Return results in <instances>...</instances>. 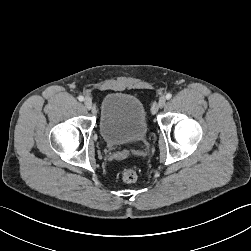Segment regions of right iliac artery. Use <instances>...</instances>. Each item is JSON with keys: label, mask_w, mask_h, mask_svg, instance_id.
I'll return each mask as SVG.
<instances>
[{"label": "right iliac artery", "mask_w": 251, "mask_h": 251, "mask_svg": "<svg viewBox=\"0 0 251 251\" xmlns=\"http://www.w3.org/2000/svg\"><path fill=\"white\" fill-rule=\"evenodd\" d=\"M78 100H79V101H83V100H84V97L80 95V96H78Z\"/></svg>", "instance_id": "1"}]
</instances>
